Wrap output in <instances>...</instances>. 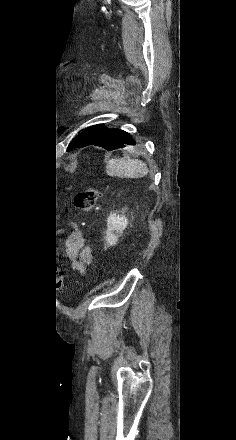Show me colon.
I'll use <instances>...</instances> for the list:
<instances>
[{
	"label": "colon",
	"mask_w": 236,
	"mask_h": 440,
	"mask_svg": "<svg viewBox=\"0 0 236 440\" xmlns=\"http://www.w3.org/2000/svg\"><path fill=\"white\" fill-rule=\"evenodd\" d=\"M98 196L99 191L97 188L92 186L86 187L75 194L74 205L80 211L89 212L93 209ZM61 279L62 276L57 274L56 276H48L46 281L48 285H59Z\"/></svg>",
	"instance_id": "1"
}]
</instances>
